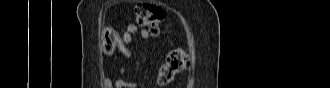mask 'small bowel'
<instances>
[{"label": "small bowel", "instance_id": "obj_1", "mask_svg": "<svg viewBox=\"0 0 330 88\" xmlns=\"http://www.w3.org/2000/svg\"><path fill=\"white\" fill-rule=\"evenodd\" d=\"M139 34L140 38L142 39H148L150 37V33L145 29H139L137 25L135 24H128L118 43H117V49L118 51L125 57H131L132 51L128 47L130 43L133 42L135 34ZM108 85L111 88H135L136 84L133 82H129L124 79H118V80H108Z\"/></svg>", "mask_w": 330, "mask_h": 88}]
</instances>
